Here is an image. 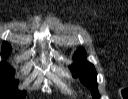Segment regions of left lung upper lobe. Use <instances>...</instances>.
I'll return each instance as SVG.
<instances>
[{"mask_svg": "<svg viewBox=\"0 0 128 99\" xmlns=\"http://www.w3.org/2000/svg\"><path fill=\"white\" fill-rule=\"evenodd\" d=\"M86 52L83 48L78 49L74 54L75 63L70 66L74 77H79L81 82L90 89L94 99H99L98 84L96 82V70L93 64L87 62Z\"/></svg>", "mask_w": 128, "mask_h": 99, "instance_id": "5c2ea615", "label": "left lung upper lobe"}]
</instances>
